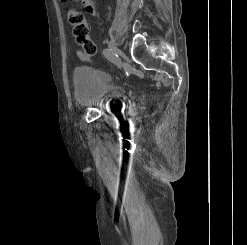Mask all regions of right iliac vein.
<instances>
[{"label":"right iliac vein","mask_w":247,"mask_h":245,"mask_svg":"<svg viewBox=\"0 0 247 245\" xmlns=\"http://www.w3.org/2000/svg\"><path fill=\"white\" fill-rule=\"evenodd\" d=\"M109 49L113 51L118 57H108V62L110 64H117L119 67L121 66L120 56L122 55V51L116 46L114 40L109 41Z\"/></svg>","instance_id":"1"}]
</instances>
